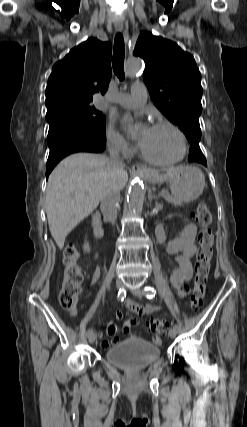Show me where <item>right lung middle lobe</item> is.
Segmentation results:
<instances>
[{"mask_svg":"<svg viewBox=\"0 0 247 427\" xmlns=\"http://www.w3.org/2000/svg\"><path fill=\"white\" fill-rule=\"evenodd\" d=\"M49 125L65 124L105 142V116L92 105L67 106L46 114Z\"/></svg>","mask_w":247,"mask_h":427,"instance_id":"right-lung-middle-lobe-1","label":"right lung middle lobe"}]
</instances>
